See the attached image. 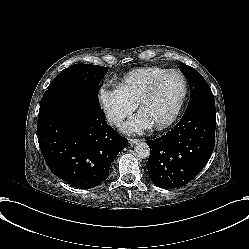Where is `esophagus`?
I'll return each mask as SVG.
<instances>
[{
  "instance_id": "1",
  "label": "esophagus",
  "mask_w": 249,
  "mask_h": 249,
  "mask_svg": "<svg viewBox=\"0 0 249 249\" xmlns=\"http://www.w3.org/2000/svg\"><path fill=\"white\" fill-rule=\"evenodd\" d=\"M140 141H141L140 139H129V145L132 146Z\"/></svg>"
}]
</instances>
